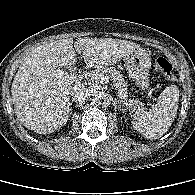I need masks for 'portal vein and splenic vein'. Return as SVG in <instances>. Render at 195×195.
Listing matches in <instances>:
<instances>
[{
    "instance_id": "obj_1",
    "label": "portal vein and splenic vein",
    "mask_w": 195,
    "mask_h": 195,
    "mask_svg": "<svg viewBox=\"0 0 195 195\" xmlns=\"http://www.w3.org/2000/svg\"><path fill=\"white\" fill-rule=\"evenodd\" d=\"M107 79H108V78H101V80L104 81V82L107 81Z\"/></svg>"
}]
</instances>
